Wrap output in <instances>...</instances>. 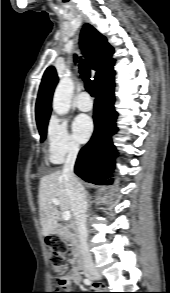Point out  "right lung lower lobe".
I'll return each mask as SVG.
<instances>
[{"label": "right lung lower lobe", "mask_w": 170, "mask_h": 293, "mask_svg": "<svg viewBox=\"0 0 170 293\" xmlns=\"http://www.w3.org/2000/svg\"><path fill=\"white\" fill-rule=\"evenodd\" d=\"M114 75L102 81L97 88L94 106L95 130L91 140L80 150L75 173L87 182L110 184L106 181L113 171L117 156L111 136L118 131L116 127L117 112L114 110Z\"/></svg>", "instance_id": "98d812e1"}]
</instances>
